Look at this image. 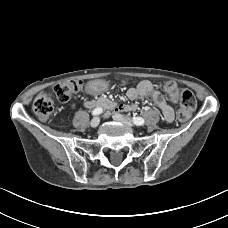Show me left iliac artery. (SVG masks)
I'll list each match as a JSON object with an SVG mask.
<instances>
[{
    "mask_svg": "<svg viewBox=\"0 0 228 228\" xmlns=\"http://www.w3.org/2000/svg\"><path fill=\"white\" fill-rule=\"evenodd\" d=\"M132 120L137 126H141L145 123V120L142 117H133Z\"/></svg>",
    "mask_w": 228,
    "mask_h": 228,
    "instance_id": "44dca946",
    "label": "left iliac artery"
}]
</instances>
